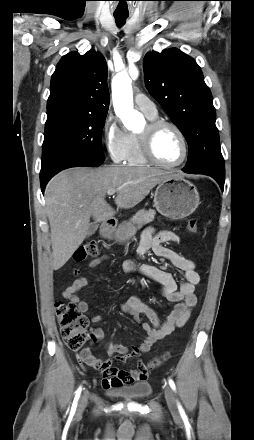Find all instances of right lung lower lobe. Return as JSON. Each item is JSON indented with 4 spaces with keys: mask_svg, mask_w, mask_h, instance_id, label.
<instances>
[{
    "mask_svg": "<svg viewBox=\"0 0 254 440\" xmlns=\"http://www.w3.org/2000/svg\"><path fill=\"white\" fill-rule=\"evenodd\" d=\"M47 182H48V180H40V185H41L42 192L44 191Z\"/></svg>",
    "mask_w": 254,
    "mask_h": 440,
    "instance_id": "98d812e1",
    "label": "right lung lower lobe"
}]
</instances>
